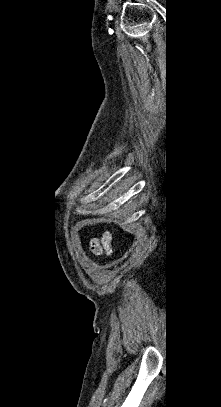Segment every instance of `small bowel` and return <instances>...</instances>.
Segmentation results:
<instances>
[{
	"label": "small bowel",
	"instance_id": "obj_1",
	"mask_svg": "<svg viewBox=\"0 0 221 407\" xmlns=\"http://www.w3.org/2000/svg\"><path fill=\"white\" fill-rule=\"evenodd\" d=\"M112 236L109 232L103 233L100 238H93L91 240V250L96 255L111 253Z\"/></svg>",
	"mask_w": 221,
	"mask_h": 407
}]
</instances>
